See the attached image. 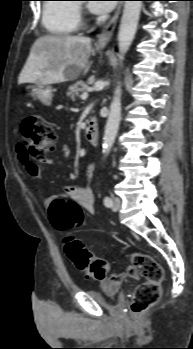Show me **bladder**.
Segmentation results:
<instances>
[{"label":"bladder","instance_id":"obj_1","mask_svg":"<svg viewBox=\"0 0 193 349\" xmlns=\"http://www.w3.org/2000/svg\"><path fill=\"white\" fill-rule=\"evenodd\" d=\"M87 293L99 304H108L109 302L115 303L118 302L120 299L119 294H113L109 296L106 295L104 292L97 290H87Z\"/></svg>","mask_w":193,"mask_h":349}]
</instances>
